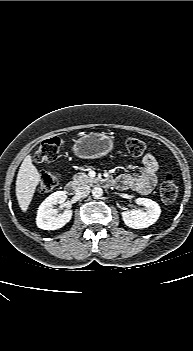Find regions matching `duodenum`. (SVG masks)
<instances>
[{"instance_id":"1","label":"duodenum","mask_w":193,"mask_h":351,"mask_svg":"<svg viewBox=\"0 0 193 351\" xmlns=\"http://www.w3.org/2000/svg\"><path fill=\"white\" fill-rule=\"evenodd\" d=\"M111 181L109 179H103L101 180V184L103 185H110ZM66 192L69 195H74L76 193V185L73 181H70L66 185Z\"/></svg>"}]
</instances>
